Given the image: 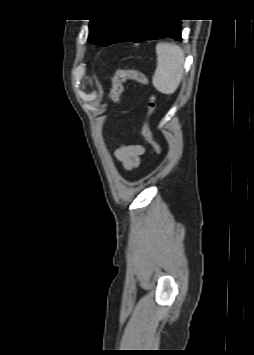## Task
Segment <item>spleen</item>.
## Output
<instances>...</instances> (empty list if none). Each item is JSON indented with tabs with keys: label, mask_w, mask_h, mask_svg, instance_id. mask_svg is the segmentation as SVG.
Returning a JSON list of instances; mask_svg holds the SVG:
<instances>
[{
	"label": "spleen",
	"mask_w": 254,
	"mask_h": 355,
	"mask_svg": "<svg viewBox=\"0 0 254 355\" xmlns=\"http://www.w3.org/2000/svg\"><path fill=\"white\" fill-rule=\"evenodd\" d=\"M157 68L152 78L155 89L163 94H173L183 76L184 52L175 44L156 45Z\"/></svg>",
	"instance_id": "obj_1"
}]
</instances>
